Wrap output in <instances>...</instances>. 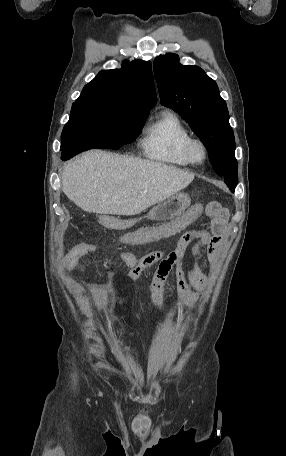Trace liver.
Returning <instances> with one entry per match:
<instances>
[{
    "instance_id": "obj_1",
    "label": "liver",
    "mask_w": 286,
    "mask_h": 456,
    "mask_svg": "<svg viewBox=\"0 0 286 456\" xmlns=\"http://www.w3.org/2000/svg\"><path fill=\"white\" fill-rule=\"evenodd\" d=\"M194 173L101 150L70 161L62 191L89 213L132 216L186 188Z\"/></svg>"
}]
</instances>
